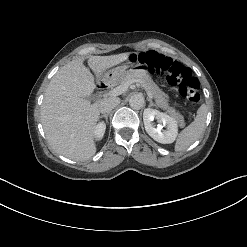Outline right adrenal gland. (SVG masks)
Wrapping results in <instances>:
<instances>
[{"instance_id": "right-adrenal-gland-1", "label": "right adrenal gland", "mask_w": 247, "mask_h": 247, "mask_svg": "<svg viewBox=\"0 0 247 247\" xmlns=\"http://www.w3.org/2000/svg\"><path fill=\"white\" fill-rule=\"evenodd\" d=\"M108 116H109V113H107V114H103V115H101L100 117L101 118H105V120H106V122L108 121Z\"/></svg>"}]
</instances>
